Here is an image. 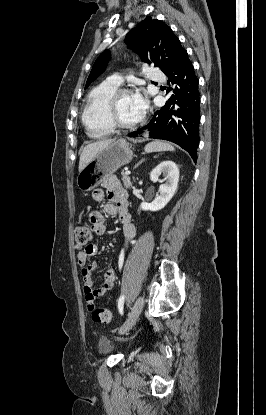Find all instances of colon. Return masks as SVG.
Returning a JSON list of instances; mask_svg holds the SVG:
<instances>
[{
	"mask_svg": "<svg viewBox=\"0 0 266 415\" xmlns=\"http://www.w3.org/2000/svg\"><path fill=\"white\" fill-rule=\"evenodd\" d=\"M93 236V229L86 224L78 225L75 229V244L78 248L89 244ZM111 311L107 308L92 309V319L97 323H108L111 320Z\"/></svg>",
	"mask_w": 266,
	"mask_h": 415,
	"instance_id": "1",
	"label": "colon"
}]
</instances>
